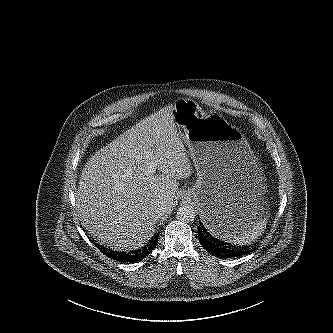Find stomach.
Masks as SVG:
<instances>
[{
  "instance_id": "0dacf381",
  "label": "stomach",
  "mask_w": 333,
  "mask_h": 333,
  "mask_svg": "<svg viewBox=\"0 0 333 333\" xmlns=\"http://www.w3.org/2000/svg\"><path fill=\"white\" fill-rule=\"evenodd\" d=\"M184 131L197 180L186 195L200 208L210 232L237 242L266 222L262 168L245 136L220 115H207L192 99L172 105Z\"/></svg>"
}]
</instances>
